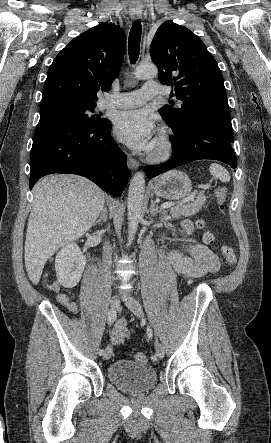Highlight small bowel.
<instances>
[{
	"instance_id": "small-bowel-1",
	"label": "small bowel",
	"mask_w": 271,
	"mask_h": 443,
	"mask_svg": "<svg viewBox=\"0 0 271 443\" xmlns=\"http://www.w3.org/2000/svg\"><path fill=\"white\" fill-rule=\"evenodd\" d=\"M182 227L186 234H189L192 230L189 221H184ZM168 260L173 269L184 277L196 278L206 273H215L220 269L219 258L210 249L199 244L192 245L187 255L179 251L170 252ZM53 290L58 293L57 300L59 303L70 312L78 313L77 304L70 301L66 295L59 293L60 287L58 285H54ZM129 333L125 321L119 320L111 331L112 343L115 345L123 343L128 338Z\"/></svg>"
}]
</instances>
